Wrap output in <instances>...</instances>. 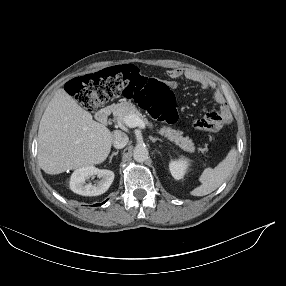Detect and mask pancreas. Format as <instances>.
<instances>
[{"label": "pancreas", "mask_w": 286, "mask_h": 286, "mask_svg": "<svg viewBox=\"0 0 286 286\" xmlns=\"http://www.w3.org/2000/svg\"><path fill=\"white\" fill-rule=\"evenodd\" d=\"M113 115L114 117L121 123H125V117L134 114L137 115L139 118H141L145 124H147L149 127H153L152 123L148 121L145 115H142L135 105L129 101H124L121 103L113 104L112 105ZM159 134L165 136L167 139H169L171 142H174L176 145H178L180 148L188 151V152H194L195 147L188 137H183L182 132L179 130H174L171 127L163 126L159 131Z\"/></svg>", "instance_id": "cf45deb5"}]
</instances>
